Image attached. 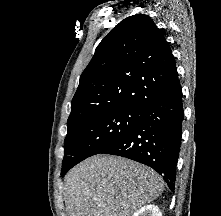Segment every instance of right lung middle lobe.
<instances>
[{"label":"right lung middle lobe","mask_w":221,"mask_h":216,"mask_svg":"<svg viewBox=\"0 0 221 216\" xmlns=\"http://www.w3.org/2000/svg\"><path fill=\"white\" fill-rule=\"evenodd\" d=\"M140 108L125 107L90 116L68 126L61 175L80 161L102 153L136 125Z\"/></svg>","instance_id":"right-lung-middle-lobe-1"}]
</instances>
